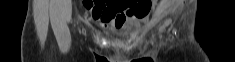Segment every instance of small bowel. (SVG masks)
<instances>
[{"label": "small bowel", "instance_id": "c3829d8e", "mask_svg": "<svg viewBox=\"0 0 235 62\" xmlns=\"http://www.w3.org/2000/svg\"><path fill=\"white\" fill-rule=\"evenodd\" d=\"M93 19L102 22L113 21L116 27H120L125 21V10L136 12V7L128 4V1L105 0L99 1L94 7L89 6ZM136 14V13H135Z\"/></svg>", "mask_w": 235, "mask_h": 62}]
</instances>
